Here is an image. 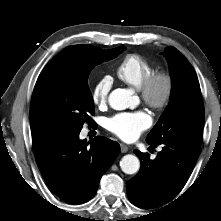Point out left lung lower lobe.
<instances>
[{"instance_id":"0a47b994","label":"left lung lower lobe","mask_w":221,"mask_h":221,"mask_svg":"<svg viewBox=\"0 0 221 221\" xmlns=\"http://www.w3.org/2000/svg\"><path fill=\"white\" fill-rule=\"evenodd\" d=\"M162 145L154 160L146 153L134 151L141 167L128 181L127 193L131 203L139 208H158L171 201L183 189L200 154V146L183 141Z\"/></svg>"}]
</instances>
